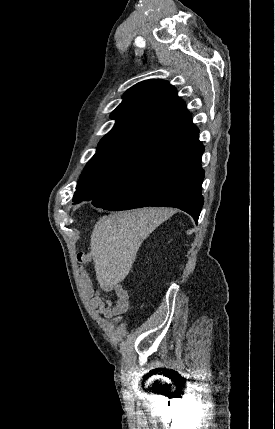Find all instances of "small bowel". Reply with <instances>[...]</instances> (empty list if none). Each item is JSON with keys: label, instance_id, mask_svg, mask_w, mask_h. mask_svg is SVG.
<instances>
[{"label": "small bowel", "instance_id": "c3829d8e", "mask_svg": "<svg viewBox=\"0 0 275 429\" xmlns=\"http://www.w3.org/2000/svg\"><path fill=\"white\" fill-rule=\"evenodd\" d=\"M81 289L83 295L89 300L91 307L104 317L110 318L122 314L128 306V293L119 284H115L108 289L113 290L119 297L117 303L113 305L110 301H106L96 291L86 273L82 272Z\"/></svg>", "mask_w": 275, "mask_h": 429}]
</instances>
